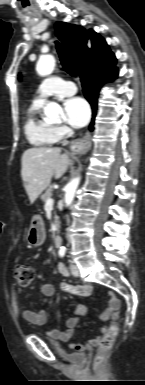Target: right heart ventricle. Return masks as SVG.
<instances>
[{"label":"right heart ventricle","mask_w":145,"mask_h":385,"mask_svg":"<svg viewBox=\"0 0 145 385\" xmlns=\"http://www.w3.org/2000/svg\"><path fill=\"white\" fill-rule=\"evenodd\" d=\"M42 104L33 102L30 105L24 124L26 138L32 145L39 147L52 145L58 140L55 128L39 115Z\"/></svg>","instance_id":"1"}]
</instances>
